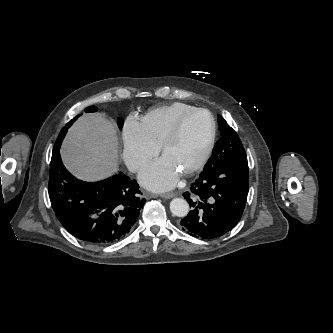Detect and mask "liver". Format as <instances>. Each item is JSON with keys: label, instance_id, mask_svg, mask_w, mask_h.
I'll use <instances>...</instances> for the list:
<instances>
[{"label": "liver", "instance_id": "obj_1", "mask_svg": "<svg viewBox=\"0 0 333 333\" xmlns=\"http://www.w3.org/2000/svg\"><path fill=\"white\" fill-rule=\"evenodd\" d=\"M61 156L77 178L95 181L110 176L118 165V142L112 123L100 114L80 117L69 129Z\"/></svg>", "mask_w": 333, "mask_h": 333}]
</instances>
